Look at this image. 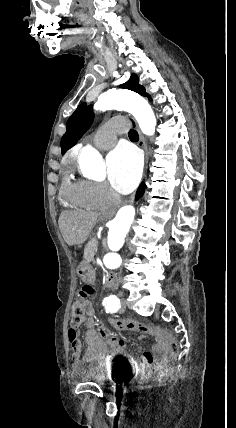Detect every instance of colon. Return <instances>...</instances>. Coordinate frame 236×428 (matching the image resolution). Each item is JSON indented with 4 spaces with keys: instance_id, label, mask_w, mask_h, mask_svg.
<instances>
[{
    "instance_id": "5ec220e1",
    "label": "colon",
    "mask_w": 236,
    "mask_h": 428,
    "mask_svg": "<svg viewBox=\"0 0 236 428\" xmlns=\"http://www.w3.org/2000/svg\"><path fill=\"white\" fill-rule=\"evenodd\" d=\"M93 294V288L89 285L82 286L76 293L71 310V328L68 331V336L71 341H75L78 336V330L85 322L86 311L89 307V298ZM109 324L114 328H128L136 330L144 335L156 337L169 351L172 360H176L179 356V345L175 338L167 332L140 324L137 322H125L120 320H110ZM172 373V366L163 367L158 373L151 377L155 383L165 381Z\"/></svg>"
}]
</instances>
